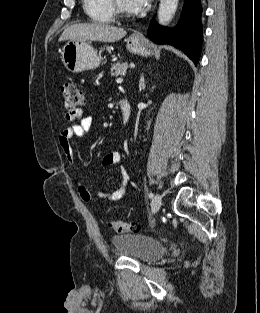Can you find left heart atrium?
Here are the masks:
<instances>
[{"instance_id": "1", "label": "left heart atrium", "mask_w": 260, "mask_h": 313, "mask_svg": "<svg viewBox=\"0 0 260 313\" xmlns=\"http://www.w3.org/2000/svg\"><path fill=\"white\" fill-rule=\"evenodd\" d=\"M151 0H125L128 9L132 12L143 11Z\"/></svg>"}]
</instances>
